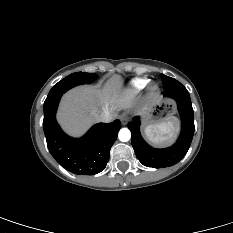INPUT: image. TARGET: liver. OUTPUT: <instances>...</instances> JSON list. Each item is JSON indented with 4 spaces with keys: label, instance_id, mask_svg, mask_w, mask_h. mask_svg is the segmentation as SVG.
<instances>
[{
    "label": "liver",
    "instance_id": "obj_1",
    "mask_svg": "<svg viewBox=\"0 0 233 233\" xmlns=\"http://www.w3.org/2000/svg\"><path fill=\"white\" fill-rule=\"evenodd\" d=\"M134 95L122 88L119 76L112 77L102 88L79 86L67 92L61 101L57 120L61 127L75 137L82 135L98 121V115L109 112L113 118L117 111L132 107ZM147 109L144 106L140 111Z\"/></svg>",
    "mask_w": 233,
    "mask_h": 233
}]
</instances>
